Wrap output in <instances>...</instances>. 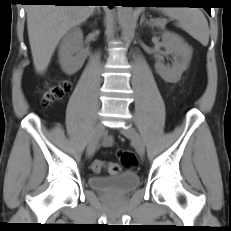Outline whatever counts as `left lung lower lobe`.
I'll list each match as a JSON object with an SVG mask.
<instances>
[{
	"label": "left lung lower lobe",
	"mask_w": 231,
	"mask_h": 231,
	"mask_svg": "<svg viewBox=\"0 0 231 231\" xmlns=\"http://www.w3.org/2000/svg\"><path fill=\"white\" fill-rule=\"evenodd\" d=\"M136 1V5L134 6H145L146 4H153V3H157L155 2L154 0H135ZM204 9L207 11V13L209 15H211V12H210V7H204Z\"/></svg>",
	"instance_id": "left-lung-lower-lobe-1"
}]
</instances>
